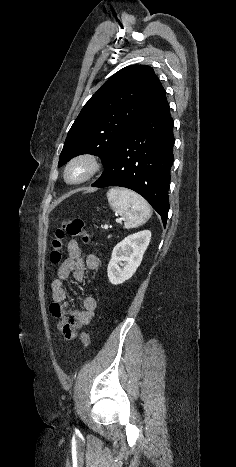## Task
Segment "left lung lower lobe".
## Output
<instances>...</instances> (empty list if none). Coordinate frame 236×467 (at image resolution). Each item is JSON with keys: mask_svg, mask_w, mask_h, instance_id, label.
Segmentation results:
<instances>
[{"mask_svg": "<svg viewBox=\"0 0 236 467\" xmlns=\"http://www.w3.org/2000/svg\"><path fill=\"white\" fill-rule=\"evenodd\" d=\"M173 119L166 96L120 140L92 187L121 186L143 196L166 225L173 163Z\"/></svg>", "mask_w": 236, "mask_h": 467, "instance_id": "obj_1", "label": "left lung lower lobe"}]
</instances>
